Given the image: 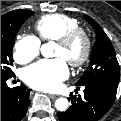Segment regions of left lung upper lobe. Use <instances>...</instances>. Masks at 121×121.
Here are the masks:
<instances>
[{"instance_id":"left-lung-upper-lobe-1","label":"left lung upper lobe","mask_w":121,"mask_h":121,"mask_svg":"<svg viewBox=\"0 0 121 121\" xmlns=\"http://www.w3.org/2000/svg\"><path fill=\"white\" fill-rule=\"evenodd\" d=\"M84 17L95 29L97 41L92 49L90 64L76 85L85 86L98 83L117 88L120 68L111 41L94 19L87 15Z\"/></svg>"}]
</instances>
